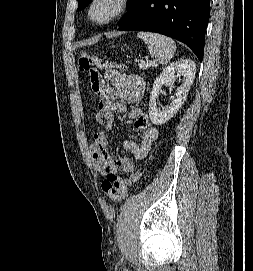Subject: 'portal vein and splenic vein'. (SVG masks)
I'll use <instances>...</instances> for the list:
<instances>
[{
  "instance_id": "1",
  "label": "portal vein and splenic vein",
  "mask_w": 253,
  "mask_h": 271,
  "mask_svg": "<svg viewBox=\"0 0 253 271\" xmlns=\"http://www.w3.org/2000/svg\"><path fill=\"white\" fill-rule=\"evenodd\" d=\"M153 64H154V63H149V64H148V63H146V64H145V63H140V64H139V67H140L141 69H146V68L150 67L151 65L153 66Z\"/></svg>"
}]
</instances>
